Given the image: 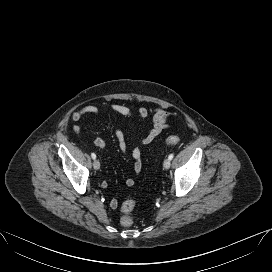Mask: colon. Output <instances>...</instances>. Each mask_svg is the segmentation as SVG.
<instances>
[{"label":"colon","instance_id":"1","mask_svg":"<svg viewBox=\"0 0 272 272\" xmlns=\"http://www.w3.org/2000/svg\"><path fill=\"white\" fill-rule=\"evenodd\" d=\"M180 141L179 137L177 136H169L166 139V143L168 145H176ZM136 206V202L132 199L126 200L123 202L121 206V212H122V217H121V224L124 227H130L133 224V218L131 217V212Z\"/></svg>","mask_w":272,"mask_h":272}]
</instances>
